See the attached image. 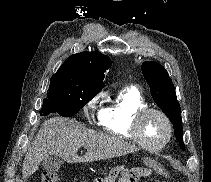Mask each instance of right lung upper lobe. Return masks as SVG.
Wrapping results in <instances>:
<instances>
[{
	"label": "right lung upper lobe",
	"mask_w": 211,
	"mask_h": 182,
	"mask_svg": "<svg viewBox=\"0 0 211 182\" xmlns=\"http://www.w3.org/2000/svg\"><path fill=\"white\" fill-rule=\"evenodd\" d=\"M111 65V59L107 55L97 51H85L68 57L54 75L103 88L104 72Z\"/></svg>",
	"instance_id": "right-lung-upper-lobe-1"
}]
</instances>
